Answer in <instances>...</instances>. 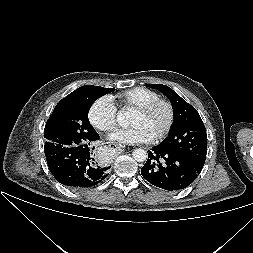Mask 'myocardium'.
I'll use <instances>...</instances> for the list:
<instances>
[{"instance_id":"myocardium-1","label":"myocardium","mask_w":253,"mask_h":253,"mask_svg":"<svg viewBox=\"0 0 253 253\" xmlns=\"http://www.w3.org/2000/svg\"><path fill=\"white\" fill-rule=\"evenodd\" d=\"M158 106H164L167 109L168 121H167V124L165 125L164 129L158 135H156L154 137V139L157 141L165 138L170 133V131L172 130V128L174 126L176 114H175V108H174L173 104L166 99L159 98V99L150 101L146 104H143V105L135 108L136 112L146 114V113L151 112L152 110H154Z\"/></svg>"}]
</instances>
